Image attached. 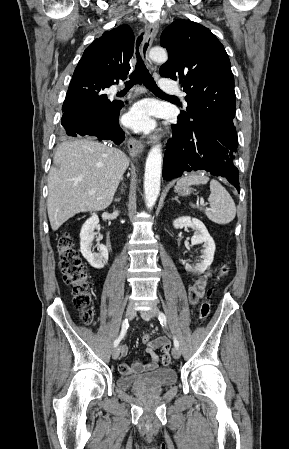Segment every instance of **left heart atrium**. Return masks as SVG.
<instances>
[{
    "instance_id": "1",
    "label": "left heart atrium",
    "mask_w": 289,
    "mask_h": 449,
    "mask_svg": "<svg viewBox=\"0 0 289 449\" xmlns=\"http://www.w3.org/2000/svg\"><path fill=\"white\" fill-rule=\"evenodd\" d=\"M125 124L136 131H151L155 127L151 104L146 101L135 104L125 115Z\"/></svg>"
}]
</instances>
